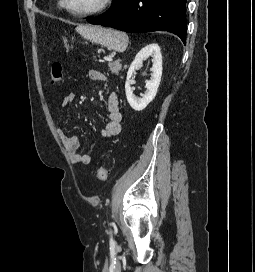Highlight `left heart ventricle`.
<instances>
[{
	"label": "left heart ventricle",
	"instance_id": "obj_1",
	"mask_svg": "<svg viewBox=\"0 0 255 272\" xmlns=\"http://www.w3.org/2000/svg\"><path fill=\"white\" fill-rule=\"evenodd\" d=\"M102 0H67L68 5L75 11H87L96 8Z\"/></svg>",
	"mask_w": 255,
	"mask_h": 272
}]
</instances>
